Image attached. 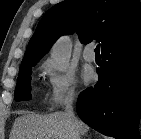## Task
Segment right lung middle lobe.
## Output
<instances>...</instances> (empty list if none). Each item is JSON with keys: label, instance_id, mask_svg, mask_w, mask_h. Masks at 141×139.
I'll list each match as a JSON object with an SVG mask.
<instances>
[{"label": "right lung middle lobe", "instance_id": "1", "mask_svg": "<svg viewBox=\"0 0 141 139\" xmlns=\"http://www.w3.org/2000/svg\"><path fill=\"white\" fill-rule=\"evenodd\" d=\"M35 65L20 68V73L17 79V85L15 90V100L28 101L31 99L30 95V83H31V68Z\"/></svg>", "mask_w": 141, "mask_h": 139}]
</instances>
